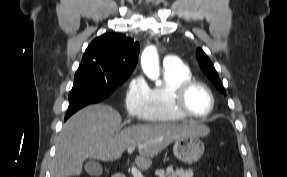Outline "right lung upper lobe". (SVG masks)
<instances>
[{"mask_svg": "<svg viewBox=\"0 0 287 177\" xmlns=\"http://www.w3.org/2000/svg\"><path fill=\"white\" fill-rule=\"evenodd\" d=\"M139 44L121 34L105 33L87 47L79 69L92 71L104 81L128 78L138 61Z\"/></svg>", "mask_w": 287, "mask_h": 177, "instance_id": "1", "label": "right lung upper lobe"}]
</instances>
